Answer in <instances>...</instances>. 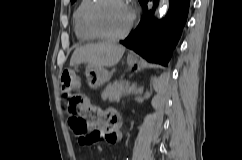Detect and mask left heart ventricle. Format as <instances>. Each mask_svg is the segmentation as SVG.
Returning <instances> with one entry per match:
<instances>
[{
  "instance_id": "b2bd125f",
  "label": "left heart ventricle",
  "mask_w": 242,
  "mask_h": 160,
  "mask_svg": "<svg viewBox=\"0 0 242 160\" xmlns=\"http://www.w3.org/2000/svg\"><path fill=\"white\" fill-rule=\"evenodd\" d=\"M130 18V7L122 0H103L94 13L98 28L110 35L122 33L128 26Z\"/></svg>"
}]
</instances>
